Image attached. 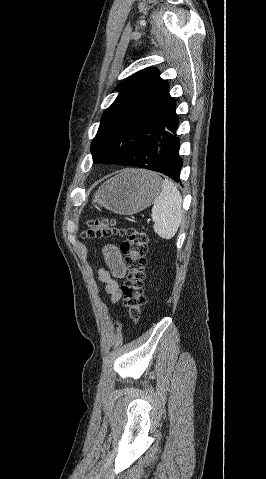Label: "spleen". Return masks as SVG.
<instances>
[{
	"label": "spleen",
	"mask_w": 266,
	"mask_h": 479,
	"mask_svg": "<svg viewBox=\"0 0 266 479\" xmlns=\"http://www.w3.org/2000/svg\"><path fill=\"white\" fill-rule=\"evenodd\" d=\"M151 217L155 233L162 239H172L183 220L182 197L172 181L165 179L152 207Z\"/></svg>",
	"instance_id": "obj_1"
}]
</instances>
